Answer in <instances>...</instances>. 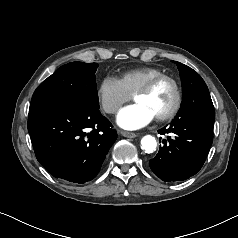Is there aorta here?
<instances>
[{
	"mask_svg": "<svg viewBox=\"0 0 238 238\" xmlns=\"http://www.w3.org/2000/svg\"><path fill=\"white\" fill-rule=\"evenodd\" d=\"M156 148H157V142L155 137L151 135H145L144 137H142L141 149L145 153H153L154 151H156Z\"/></svg>",
	"mask_w": 238,
	"mask_h": 238,
	"instance_id": "obj_1",
	"label": "aorta"
}]
</instances>
